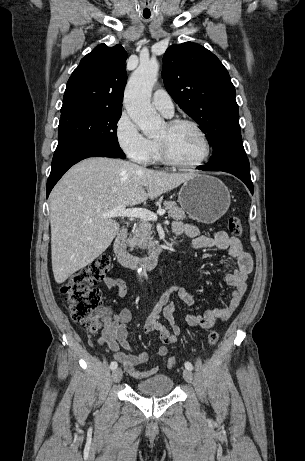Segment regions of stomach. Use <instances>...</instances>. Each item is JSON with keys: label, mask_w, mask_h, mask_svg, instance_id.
Returning <instances> with one entry per match:
<instances>
[{"label": "stomach", "mask_w": 305, "mask_h": 461, "mask_svg": "<svg viewBox=\"0 0 305 461\" xmlns=\"http://www.w3.org/2000/svg\"><path fill=\"white\" fill-rule=\"evenodd\" d=\"M178 201L191 218L206 224L221 218L231 202L226 185L218 178L204 174H194L183 183Z\"/></svg>", "instance_id": "1"}]
</instances>
